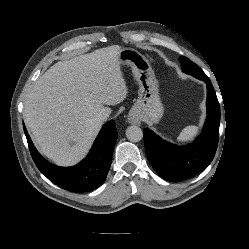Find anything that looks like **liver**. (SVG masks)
Listing matches in <instances>:
<instances>
[{"instance_id": "liver-1", "label": "liver", "mask_w": 249, "mask_h": 249, "mask_svg": "<svg viewBox=\"0 0 249 249\" xmlns=\"http://www.w3.org/2000/svg\"><path fill=\"white\" fill-rule=\"evenodd\" d=\"M119 46L60 61L35 83L24 103V120L40 151L55 164L71 166L88 153L102 122L104 105L127 96Z\"/></svg>"}]
</instances>
